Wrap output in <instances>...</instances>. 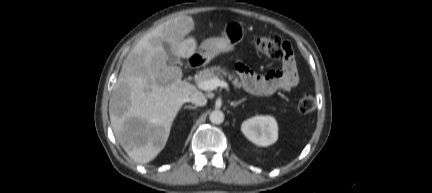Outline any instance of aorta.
<instances>
[{"instance_id":"762f6f07","label":"aorta","mask_w":432,"mask_h":193,"mask_svg":"<svg viewBox=\"0 0 432 193\" xmlns=\"http://www.w3.org/2000/svg\"><path fill=\"white\" fill-rule=\"evenodd\" d=\"M209 120L213 124H221L224 121V113L220 110H213L209 115Z\"/></svg>"}]
</instances>
